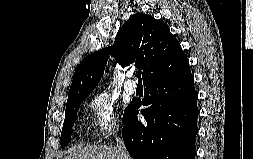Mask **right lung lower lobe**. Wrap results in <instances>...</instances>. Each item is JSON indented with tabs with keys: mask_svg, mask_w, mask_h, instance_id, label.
Returning <instances> with one entry per match:
<instances>
[{
	"mask_svg": "<svg viewBox=\"0 0 253 159\" xmlns=\"http://www.w3.org/2000/svg\"><path fill=\"white\" fill-rule=\"evenodd\" d=\"M189 63L177 72L144 84L142 102L130 103L123 117V140L134 159H195L198 94ZM141 110L146 123L138 121Z\"/></svg>",
	"mask_w": 253,
	"mask_h": 159,
	"instance_id": "right-lung-lower-lobe-1",
	"label": "right lung lower lobe"
}]
</instances>
